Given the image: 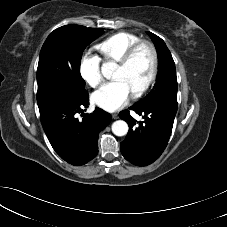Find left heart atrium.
Here are the masks:
<instances>
[{"label": "left heart atrium", "instance_id": "left-heart-atrium-1", "mask_svg": "<svg viewBox=\"0 0 227 227\" xmlns=\"http://www.w3.org/2000/svg\"><path fill=\"white\" fill-rule=\"evenodd\" d=\"M130 95L127 86L121 80L114 79L96 91L92 100L100 108L113 112L125 106Z\"/></svg>", "mask_w": 227, "mask_h": 227}]
</instances>
